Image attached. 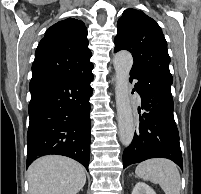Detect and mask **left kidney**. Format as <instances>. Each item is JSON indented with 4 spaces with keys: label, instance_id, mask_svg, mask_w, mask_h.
Segmentation results:
<instances>
[{
    "label": "left kidney",
    "instance_id": "obj_1",
    "mask_svg": "<svg viewBox=\"0 0 201 194\" xmlns=\"http://www.w3.org/2000/svg\"><path fill=\"white\" fill-rule=\"evenodd\" d=\"M132 194H156L146 183L138 182L133 188Z\"/></svg>",
    "mask_w": 201,
    "mask_h": 194
}]
</instances>
